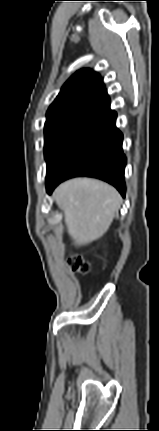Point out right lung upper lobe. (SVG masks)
<instances>
[{
    "mask_svg": "<svg viewBox=\"0 0 159 431\" xmlns=\"http://www.w3.org/2000/svg\"><path fill=\"white\" fill-rule=\"evenodd\" d=\"M110 110V99L98 73L81 69L63 85L46 117H67L89 122Z\"/></svg>",
    "mask_w": 159,
    "mask_h": 431,
    "instance_id": "right-lung-upper-lobe-1",
    "label": "right lung upper lobe"
}]
</instances>
